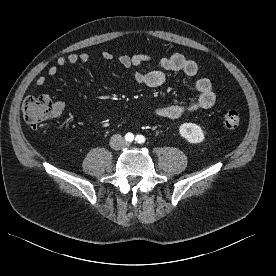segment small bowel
I'll return each mask as SVG.
<instances>
[{"mask_svg":"<svg viewBox=\"0 0 276 276\" xmlns=\"http://www.w3.org/2000/svg\"><path fill=\"white\" fill-rule=\"evenodd\" d=\"M114 55L110 51H104L101 54V59L105 62L113 60ZM91 60V55L88 53H70L67 56H60L56 60L55 65H51L47 69L49 76L57 75L59 67L67 64L76 65L78 63H87ZM152 57L148 54L127 55L122 54L118 57V62L125 68L137 67L146 62H150ZM199 71L198 64L182 55L173 54L163 57L158 62V68L149 72L135 71L133 74L134 80L141 85L157 88L162 86L166 81V72L183 73L193 77ZM46 80L43 76L38 77L34 82V89H40ZM196 90L199 96L186 103L174 105L156 106L153 109V115L162 120H176L184 114H194L201 110L212 107L216 101V94L213 90L212 83L207 78H199L195 83ZM64 109V104L60 101L55 103V113L60 114Z\"/></svg>","mask_w":276,"mask_h":276,"instance_id":"1","label":"small bowel"}]
</instances>
